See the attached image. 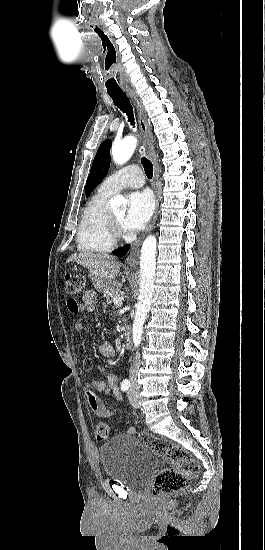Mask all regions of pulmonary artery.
Wrapping results in <instances>:
<instances>
[{
    "label": "pulmonary artery",
    "instance_id": "e3ab8cb5",
    "mask_svg": "<svg viewBox=\"0 0 265 550\" xmlns=\"http://www.w3.org/2000/svg\"><path fill=\"white\" fill-rule=\"evenodd\" d=\"M145 183L144 176L137 164L128 165L108 176L101 188L110 193H116L124 188H139Z\"/></svg>",
    "mask_w": 265,
    "mask_h": 550
}]
</instances>
